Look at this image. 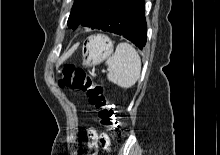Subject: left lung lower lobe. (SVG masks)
<instances>
[{
    "label": "left lung lower lobe",
    "instance_id": "left-lung-lower-lobe-1",
    "mask_svg": "<svg viewBox=\"0 0 220 155\" xmlns=\"http://www.w3.org/2000/svg\"><path fill=\"white\" fill-rule=\"evenodd\" d=\"M144 0H97L79 25L123 36L139 49L146 44Z\"/></svg>",
    "mask_w": 220,
    "mask_h": 155
}]
</instances>
